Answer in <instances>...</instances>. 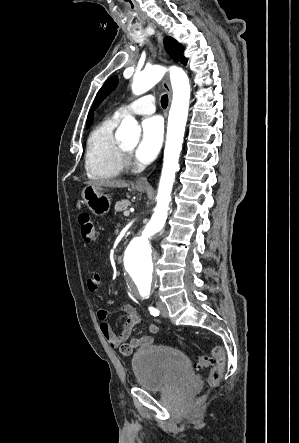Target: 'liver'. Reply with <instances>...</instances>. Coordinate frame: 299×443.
Instances as JSON below:
<instances>
[{
	"label": "liver",
	"instance_id": "1",
	"mask_svg": "<svg viewBox=\"0 0 299 443\" xmlns=\"http://www.w3.org/2000/svg\"><path fill=\"white\" fill-rule=\"evenodd\" d=\"M87 185H92L95 187H110V188H126L129 183L125 180H110V179H100V180H90L86 182Z\"/></svg>",
	"mask_w": 299,
	"mask_h": 443
}]
</instances>
